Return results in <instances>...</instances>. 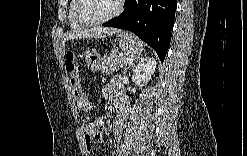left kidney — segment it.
<instances>
[{
	"label": "left kidney",
	"mask_w": 247,
	"mask_h": 156,
	"mask_svg": "<svg viewBox=\"0 0 247 156\" xmlns=\"http://www.w3.org/2000/svg\"><path fill=\"white\" fill-rule=\"evenodd\" d=\"M156 64L157 62L154 57H145L141 59L133 69L132 81L140 87L146 85L156 69Z\"/></svg>",
	"instance_id": "5707ae66"
}]
</instances>
